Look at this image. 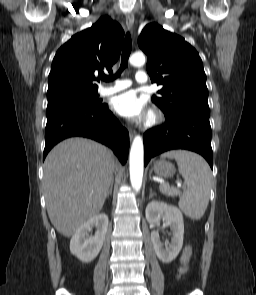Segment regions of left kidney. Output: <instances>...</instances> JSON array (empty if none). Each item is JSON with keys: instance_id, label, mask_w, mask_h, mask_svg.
Returning <instances> with one entry per match:
<instances>
[{"instance_id": "1", "label": "left kidney", "mask_w": 256, "mask_h": 295, "mask_svg": "<svg viewBox=\"0 0 256 295\" xmlns=\"http://www.w3.org/2000/svg\"><path fill=\"white\" fill-rule=\"evenodd\" d=\"M146 220L155 225L163 219L165 226L171 230V242L162 243L157 231L151 232V241L155 253L163 263L172 262L179 254L183 245L184 221L181 211L174 205L153 200L146 207Z\"/></svg>"}]
</instances>
